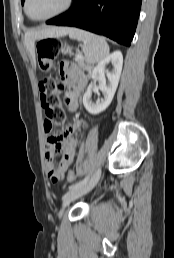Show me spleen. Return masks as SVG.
<instances>
[{
  "label": "spleen",
  "instance_id": "3e777b00",
  "mask_svg": "<svg viewBox=\"0 0 174 258\" xmlns=\"http://www.w3.org/2000/svg\"><path fill=\"white\" fill-rule=\"evenodd\" d=\"M68 33L71 39L83 43L82 49L87 63H97L109 55V46L104 37L78 28H70Z\"/></svg>",
  "mask_w": 174,
  "mask_h": 258
}]
</instances>
